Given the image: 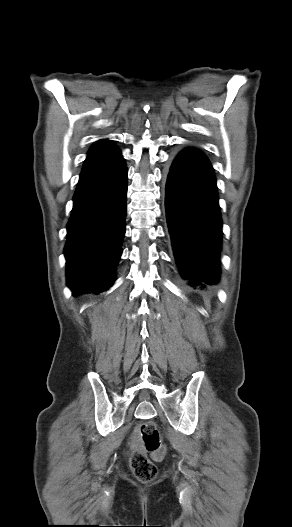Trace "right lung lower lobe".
I'll list each match as a JSON object with an SVG mask.
<instances>
[{
    "label": "right lung lower lobe",
    "mask_w": 292,
    "mask_h": 527,
    "mask_svg": "<svg viewBox=\"0 0 292 527\" xmlns=\"http://www.w3.org/2000/svg\"><path fill=\"white\" fill-rule=\"evenodd\" d=\"M127 167L109 140L96 142L84 161L67 224L64 254L72 294L102 292L115 281L125 234Z\"/></svg>",
    "instance_id": "obj_1"
}]
</instances>
